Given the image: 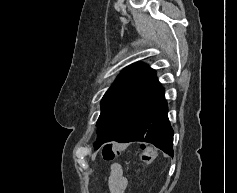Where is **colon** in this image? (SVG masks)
I'll list each match as a JSON object with an SVG mask.
<instances>
[{"instance_id":"5ec220e1","label":"colon","mask_w":237,"mask_h":193,"mask_svg":"<svg viewBox=\"0 0 237 193\" xmlns=\"http://www.w3.org/2000/svg\"><path fill=\"white\" fill-rule=\"evenodd\" d=\"M120 152H121L120 149L116 145L107 144L103 148L102 155L105 160L110 161L114 159V157L118 155ZM140 157L145 165H149L153 162L155 158V153L151 148L142 146Z\"/></svg>"}]
</instances>
